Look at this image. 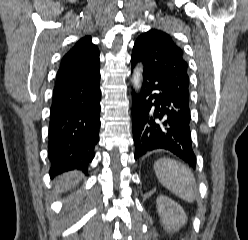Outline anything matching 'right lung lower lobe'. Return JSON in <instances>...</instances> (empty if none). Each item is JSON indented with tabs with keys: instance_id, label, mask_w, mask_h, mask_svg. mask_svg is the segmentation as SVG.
<instances>
[{
	"instance_id": "98d812e1",
	"label": "right lung lower lobe",
	"mask_w": 248,
	"mask_h": 240,
	"mask_svg": "<svg viewBox=\"0 0 248 240\" xmlns=\"http://www.w3.org/2000/svg\"><path fill=\"white\" fill-rule=\"evenodd\" d=\"M100 69L76 81L55 86L50 112V175L69 170L87 173L99 140Z\"/></svg>"
}]
</instances>
